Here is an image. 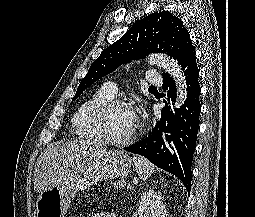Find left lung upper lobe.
Returning a JSON list of instances; mask_svg holds the SVG:
<instances>
[{
  "label": "left lung upper lobe",
  "mask_w": 255,
  "mask_h": 217,
  "mask_svg": "<svg viewBox=\"0 0 255 217\" xmlns=\"http://www.w3.org/2000/svg\"><path fill=\"white\" fill-rule=\"evenodd\" d=\"M190 45L189 32L178 17L168 11L150 14L134 23L123 37L101 53L81 80L73 100L122 64L154 52L165 53L177 60Z\"/></svg>",
  "instance_id": "obj_1"
}]
</instances>
